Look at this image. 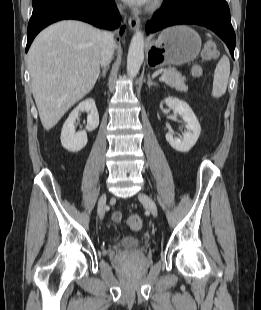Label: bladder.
Returning <instances> with one entry per match:
<instances>
[{"label":"bladder","instance_id":"31cf9c89","mask_svg":"<svg viewBox=\"0 0 261 310\" xmlns=\"http://www.w3.org/2000/svg\"><path fill=\"white\" fill-rule=\"evenodd\" d=\"M143 242L138 237L125 236L118 242V246L124 250L134 251L142 247Z\"/></svg>","mask_w":261,"mask_h":310}]
</instances>
